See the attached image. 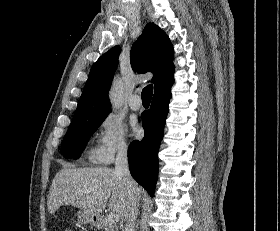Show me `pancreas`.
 <instances>
[{
  "instance_id": "cf45deb5",
  "label": "pancreas",
  "mask_w": 280,
  "mask_h": 231,
  "mask_svg": "<svg viewBox=\"0 0 280 231\" xmlns=\"http://www.w3.org/2000/svg\"><path fill=\"white\" fill-rule=\"evenodd\" d=\"M101 227L104 231H118V225L115 223H110L107 219H101Z\"/></svg>"
}]
</instances>
